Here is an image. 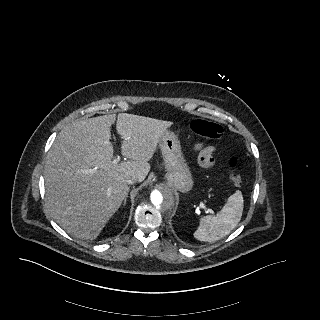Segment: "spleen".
<instances>
[{
  "mask_svg": "<svg viewBox=\"0 0 320 320\" xmlns=\"http://www.w3.org/2000/svg\"><path fill=\"white\" fill-rule=\"evenodd\" d=\"M244 208L242 193L236 190L217 215L200 219L194 237L200 241H216L228 235L240 222Z\"/></svg>",
  "mask_w": 320,
  "mask_h": 320,
  "instance_id": "1",
  "label": "spleen"
}]
</instances>
